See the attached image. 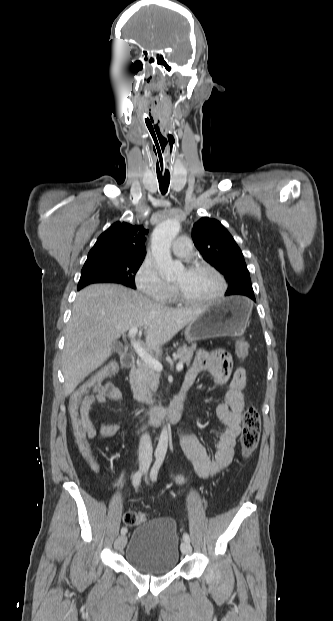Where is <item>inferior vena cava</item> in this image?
Returning a JSON list of instances; mask_svg holds the SVG:
<instances>
[{
	"instance_id": "602c4592",
	"label": "inferior vena cava",
	"mask_w": 333,
	"mask_h": 621,
	"mask_svg": "<svg viewBox=\"0 0 333 621\" xmlns=\"http://www.w3.org/2000/svg\"><path fill=\"white\" fill-rule=\"evenodd\" d=\"M152 454L153 448L150 435L148 433H144L139 441V462L147 465L151 464Z\"/></svg>"
}]
</instances>
